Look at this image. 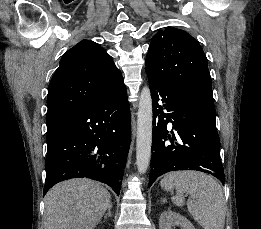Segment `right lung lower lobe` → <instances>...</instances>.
I'll use <instances>...</instances> for the list:
<instances>
[{"label": "right lung lower lobe", "mask_w": 261, "mask_h": 229, "mask_svg": "<svg viewBox=\"0 0 261 229\" xmlns=\"http://www.w3.org/2000/svg\"><path fill=\"white\" fill-rule=\"evenodd\" d=\"M44 194L56 183L90 178L120 193L130 146V111L121 81L103 97L47 130Z\"/></svg>", "instance_id": "obj_1"}]
</instances>
